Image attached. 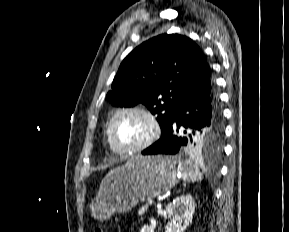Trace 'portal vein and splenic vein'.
Masks as SVG:
<instances>
[{
    "label": "portal vein and splenic vein",
    "mask_w": 289,
    "mask_h": 232,
    "mask_svg": "<svg viewBox=\"0 0 289 232\" xmlns=\"http://www.w3.org/2000/svg\"><path fill=\"white\" fill-rule=\"evenodd\" d=\"M148 203H149V205H153L154 201L153 200H149Z\"/></svg>",
    "instance_id": "18ae733b"
}]
</instances>
